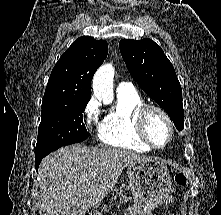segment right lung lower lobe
Instances as JSON below:
<instances>
[{
  "label": "right lung lower lobe",
  "instance_id": "obj_1",
  "mask_svg": "<svg viewBox=\"0 0 221 215\" xmlns=\"http://www.w3.org/2000/svg\"><path fill=\"white\" fill-rule=\"evenodd\" d=\"M44 157H45V156L35 157L36 170H38V166H39L41 160H42Z\"/></svg>",
  "mask_w": 221,
  "mask_h": 215
}]
</instances>
